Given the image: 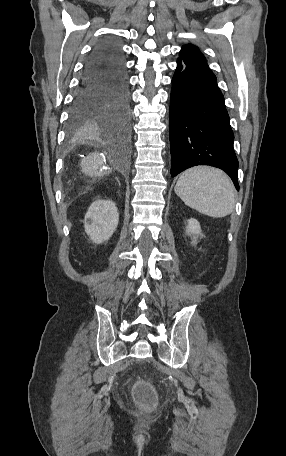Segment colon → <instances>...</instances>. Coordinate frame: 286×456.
Listing matches in <instances>:
<instances>
[{
    "instance_id": "1",
    "label": "colon",
    "mask_w": 286,
    "mask_h": 456,
    "mask_svg": "<svg viewBox=\"0 0 286 456\" xmlns=\"http://www.w3.org/2000/svg\"><path fill=\"white\" fill-rule=\"evenodd\" d=\"M133 393L138 404L144 408H152L156 403L155 390L148 383H137L133 389Z\"/></svg>"
}]
</instances>
